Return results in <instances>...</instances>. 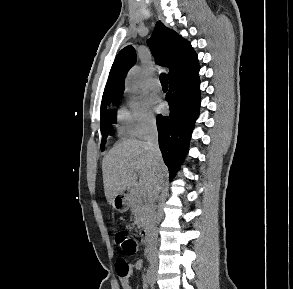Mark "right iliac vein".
<instances>
[{"label":"right iliac vein","mask_w":293,"mask_h":289,"mask_svg":"<svg viewBox=\"0 0 293 289\" xmlns=\"http://www.w3.org/2000/svg\"><path fill=\"white\" fill-rule=\"evenodd\" d=\"M152 277H153V281H155L156 279V270H157V266L156 265H153L152 268Z\"/></svg>","instance_id":"right-iliac-vein-1"}]
</instances>
